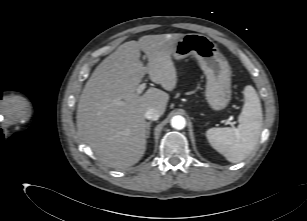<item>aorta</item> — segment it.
<instances>
[{
  "label": "aorta",
  "instance_id": "obj_1",
  "mask_svg": "<svg viewBox=\"0 0 307 221\" xmlns=\"http://www.w3.org/2000/svg\"><path fill=\"white\" fill-rule=\"evenodd\" d=\"M185 125H186V120L183 116L176 115V116L172 117L171 126L174 129L181 130L185 127Z\"/></svg>",
  "mask_w": 307,
  "mask_h": 221
}]
</instances>
